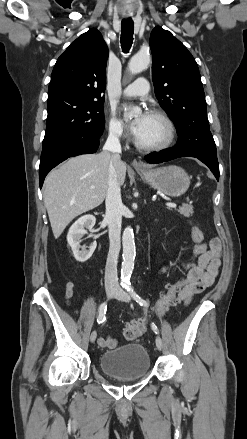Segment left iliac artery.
<instances>
[{
    "label": "left iliac artery",
    "instance_id": "obj_1",
    "mask_svg": "<svg viewBox=\"0 0 247 439\" xmlns=\"http://www.w3.org/2000/svg\"><path fill=\"white\" fill-rule=\"evenodd\" d=\"M126 290L131 294V296L133 297V299L140 304L141 306H143L144 308H148V302L146 300H144L143 298H141L132 288L131 284L128 283L127 285H125ZM151 327L153 329V331L157 334L158 333V328L155 325V323L151 324Z\"/></svg>",
    "mask_w": 247,
    "mask_h": 439
}]
</instances>
